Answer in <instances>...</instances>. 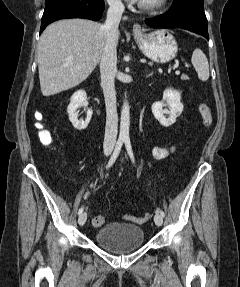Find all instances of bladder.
<instances>
[{"mask_svg": "<svg viewBox=\"0 0 240 287\" xmlns=\"http://www.w3.org/2000/svg\"><path fill=\"white\" fill-rule=\"evenodd\" d=\"M94 241L97 245L112 253L124 254L143 245L144 230L137 225L112 222L101 226L97 230Z\"/></svg>", "mask_w": 240, "mask_h": 287, "instance_id": "obj_1", "label": "bladder"}]
</instances>
